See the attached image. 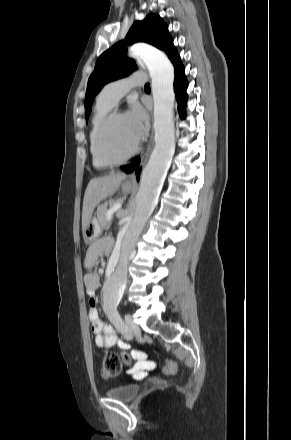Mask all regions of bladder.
Instances as JSON below:
<instances>
[{
  "label": "bladder",
  "mask_w": 291,
  "mask_h": 440,
  "mask_svg": "<svg viewBox=\"0 0 291 440\" xmlns=\"http://www.w3.org/2000/svg\"><path fill=\"white\" fill-rule=\"evenodd\" d=\"M139 392V386L134 384L111 387L107 390V395L117 401L130 402Z\"/></svg>",
  "instance_id": "31cf9c89"
}]
</instances>
